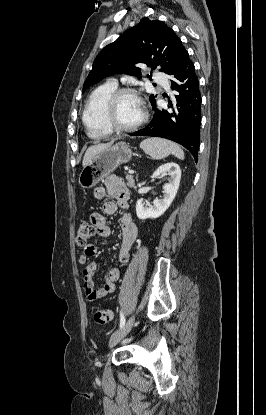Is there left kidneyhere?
I'll return each mask as SVG.
<instances>
[{
  "mask_svg": "<svg viewBox=\"0 0 266 415\" xmlns=\"http://www.w3.org/2000/svg\"><path fill=\"white\" fill-rule=\"evenodd\" d=\"M162 174L169 175L168 183L164 186L163 198L155 199L153 206L145 205L142 200L136 203V214L141 220L160 217L170 207L177 194L181 179L179 165L173 162L161 165L153 173V177L156 178Z\"/></svg>",
  "mask_w": 266,
  "mask_h": 415,
  "instance_id": "5707ae66",
  "label": "left kidney"
}]
</instances>
